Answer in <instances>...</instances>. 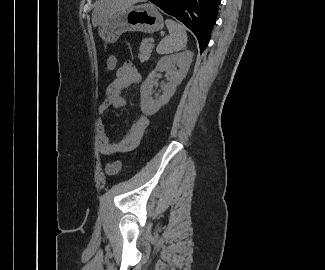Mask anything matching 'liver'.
<instances>
[{"mask_svg": "<svg viewBox=\"0 0 325 270\" xmlns=\"http://www.w3.org/2000/svg\"><path fill=\"white\" fill-rule=\"evenodd\" d=\"M133 3L132 0H98L92 12L93 27H97L104 18L112 13L130 7Z\"/></svg>", "mask_w": 325, "mask_h": 270, "instance_id": "liver-1", "label": "liver"}]
</instances>
